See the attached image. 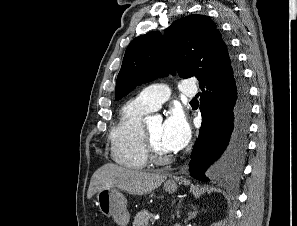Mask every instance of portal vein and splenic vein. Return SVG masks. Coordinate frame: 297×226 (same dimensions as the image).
<instances>
[{
  "instance_id": "1",
  "label": "portal vein and splenic vein",
  "mask_w": 297,
  "mask_h": 226,
  "mask_svg": "<svg viewBox=\"0 0 297 226\" xmlns=\"http://www.w3.org/2000/svg\"><path fill=\"white\" fill-rule=\"evenodd\" d=\"M158 219H159V216L156 215V216L153 218V222H155V221L158 220Z\"/></svg>"
}]
</instances>
